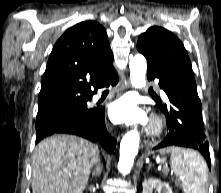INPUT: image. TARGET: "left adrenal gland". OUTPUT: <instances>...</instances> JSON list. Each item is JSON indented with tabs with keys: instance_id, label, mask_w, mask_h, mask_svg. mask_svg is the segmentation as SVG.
<instances>
[{
	"instance_id": "left-adrenal-gland-1",
	"label": "left adrenal gland",
	"mask_w": 221,
	"mask_h": 193,
	"mask_svg": "<svg viewBox=\"0 0 221 193\" xmlns=\"http://www.w3.org/2000/svg\"><path fill=\"white\" fill-rule=\"evenodd\" d=\"M150 169V166H148L147 171Z\"/></svg>"
}]
</instances>
